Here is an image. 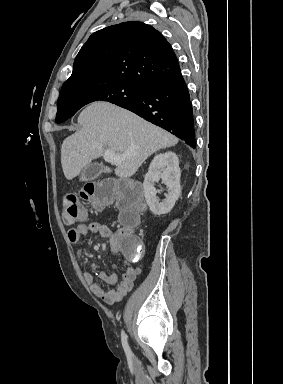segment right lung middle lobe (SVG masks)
I'll return each instance as SVG.
<instances>
[{
    "label": "right lung middle lobe",
    "instance_id": "dd1d6c3e",
    "mask_svg": "<svg viewBox=\"0 0 283 384\" xmlns=\"http://www.w3.org/2000/svg\"><path fill=\"white\" fill-rule=\"evenodd\" d=\"M143 92V87L125 81H109L62 88L57 102L56 122L66 121L88 103L108 101L118 104L134 100L140 97Z\"/></svg>",
    "mask_w": 283,
    "mask_h": 384
}]
</instances>
